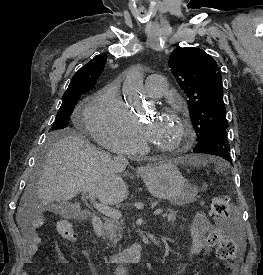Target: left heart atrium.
<instances>
[{"label": "left heart atrium", "mask_w": 263, "mask_h": 275, "mask_svg": "<svg viewBox=\"0 0 263 275\" xmlns=\"http://www.w3.org/2000/svg\"><path fill=\"white\" fill-rule=\"evenodd\" d=\"M154 127H155V125H150V126L147 128V135H148V136L153 132Z\"/></svg>", "instance_id": "1"}]
</instances>
